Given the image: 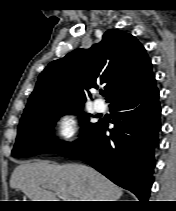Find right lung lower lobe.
<instances>
[{"label":"right lung lower lobe","instance_id":"right-lung-lower-lobe-1","mask_svg":"<svg viewBox=\"0 0 176 211\" xmlns=\"http://www.w3.org/2000/svg\"><path fill=\"white\" fill-rule=\"evenodd\" d=\"M110 110L114 115L110 136L105 135V125L99 121L80 143L59 155L84 160L144 202L153 183V152L160 129L155 81L138 95L112 104Z\"/></svg>","mask_w":176,"mask_h":211}]
</instances>
